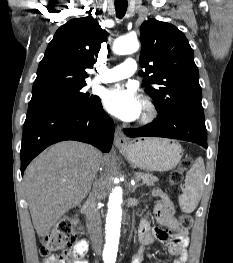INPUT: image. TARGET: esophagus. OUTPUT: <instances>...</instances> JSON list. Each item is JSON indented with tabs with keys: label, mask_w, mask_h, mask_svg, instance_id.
<instances>
[{
	"label": "esophagus",
	"mask_w": 233,
	"mask_h": 263,
	"mask_svg": "<svg viewBox=\"0 0 233 263\" xmlns=\"http://www.w3.org/2000/svg\"><path fill=\"white\" fill-rule=\"evenodd\" d=\"M114 143L117 148H124L129 143L128 138L125 136L120 126H117L115 129Z\"/></svg>",
	"instance_id": "esophagus-1"
}]
</instances>
